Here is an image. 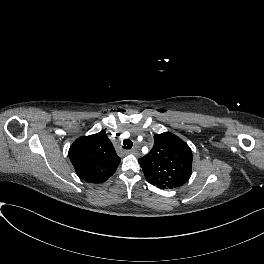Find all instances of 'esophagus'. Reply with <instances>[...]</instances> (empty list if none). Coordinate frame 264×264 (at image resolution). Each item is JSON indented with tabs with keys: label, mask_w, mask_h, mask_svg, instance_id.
Wrapping results in <instances>:
<instances>
[{
	"label": "esophagus",
	"mask_w": 264,
	"mask_h": 264,
	"mask_svg": "<svg viewBox=\"0 0 264 264\" xmlns=\"http://www.w3.org/2000/svg\"><path fill=\"white\" fill-rule=\"evenodd\" d=\"M136 150L135 149H132V150H127L126 153L127 154H136Z\"/></svg>",
	"instance_id": "34e87169"
}]
</instances>
